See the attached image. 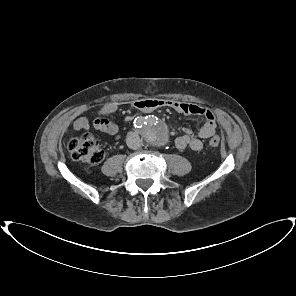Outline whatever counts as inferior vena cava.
<instances>
[{
	"mask_svg": "<svg viewBox=\"0 0 296 296\" xmlns=\"http://www.w3.org/2000/svg\"><path fill=\"white\" fill-rule=\"evenodd\" d=\"M126 144L130 149H138L141 144L140 137L137 133H130L126 138Z\"/></svg>",
	"mask_w": 296,
	"mask_h": 296,
	"instance_id": "obj_1",
	"label": "inferior vena cava"
}]
</instances>
